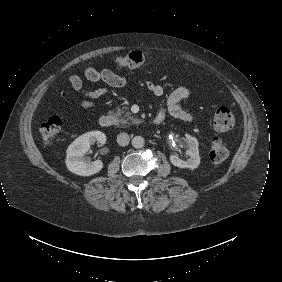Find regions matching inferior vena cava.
<instances>
[{
    "label": "inferior vena cava",
    "instance_id": "1",
    "mask_svg": "<svg viewBox=\"0 0 282 282\" xmlns=\"http://www.w3.org/2000/svg\"><path fill=\"white\" fill-rule=\"evenodd\" d=\"M129 142H130V137L127 133L123 132V133L118 134L117 143L120 146H127Z\"/></svg>",
    "mask_w": 282,
    "mask_h": 282
}]
</instances>
